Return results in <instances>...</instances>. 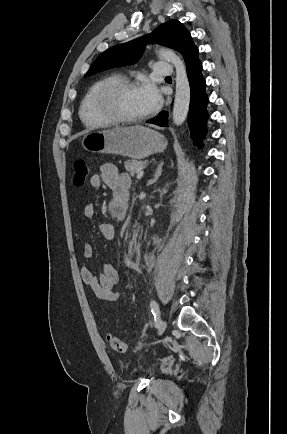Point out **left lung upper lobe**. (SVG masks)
<instances>
[{
	"instance_id": "obj_1",
	"label": "left lung upper lobe",
	"mask_w": 287,
	"mask_h": 434,
	"mask_svg": "<svg viewBox=\"0 0 287 434\" xmlns=\"http://www.w3.org/2000/svg\"><path fill=\"white\" fill-rule=\"evenodd\" d=\"M159 43L178 51L186 62L198 54L189 31L178 20L161 24L152 33L127 43L113 46L101 53L85 74L91 76L106 69L130 65L138 61L146 44Z\"/></svg>"
}]
</instances>
